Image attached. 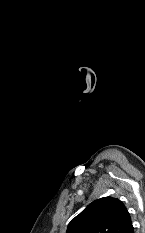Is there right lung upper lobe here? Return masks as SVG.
<instances>
[{"label": "right lung upper lobe", "instance_id": "1", "mask_svg": "<svg viewBox=\"0 0 145 233\" xmlns=\"http://www.w3.org/2000/svg\"><path fill=\"white\" fill-rule=\"evenodd\" d=\"M130 215L116 198L104 197L90 203L68 225L66 233H133Z\"/></svg>", "mask_w": 145, "mask_h": 233}]
</instances>
